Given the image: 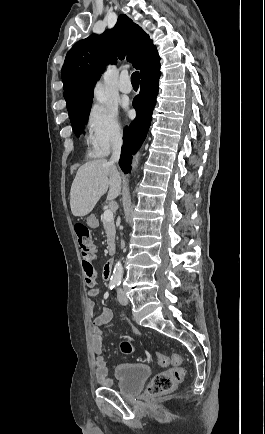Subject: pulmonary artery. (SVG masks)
Returning <instances> with one entry per match:
<instances>
[{"mask_svg":"<svg viewBox=\"0 0 265 434\" xmlns=\"http://www.w3.org/2000/svg\"><path fill=\"white\" fill-rule=\"evenodd\" d=\"M129 79V75L128 73H124L121 76V81L118 82V89L125 94H128L131 92V90L134 87V84L132 81H124V80H128Z\"/></svg>","mask_w":265,"mask_h":434,"instance_id":"e3ab8cb5","label":"pulmonary artery"}]
</instances>
